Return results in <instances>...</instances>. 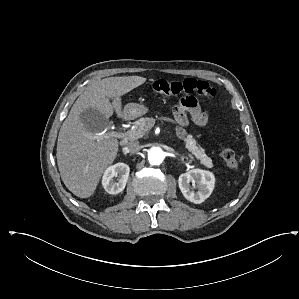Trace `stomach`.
I'll return each instance as SVG.
<instances>
[{
  "label": "stomach",
  "instance_id": "0dacf381",
  "mask_svg": "<svg viewBox=\"0 0 299 299\" xmlns=\"http://www.w3.org/2000/svg\"><path fill=\"white\" fill-rule=\"evenodd\" d=\"M148 112V108L143 104L128 103L124 108L125 117L135 119Z\"/></svg>",
  "mask_w": 299,
  "mask_h": 299
}]
</instances>
